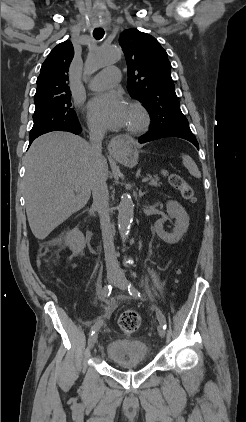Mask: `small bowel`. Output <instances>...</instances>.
<instances>
[{"mask_svg": "<svg viewBox=\"0 0 246 422\" xmlns=\"http://www.w3.org/2000/svg\"><path fill=\"white\" fill-rule=\"evenodd\" d=\"M115 308V300L113 298L109 299L106 305V312L104 318H108Z\"/></svg>", "mask_w": 246, "mask_h": 422, "instance_id": "1", "label": "small bowel"}]
</instances>
